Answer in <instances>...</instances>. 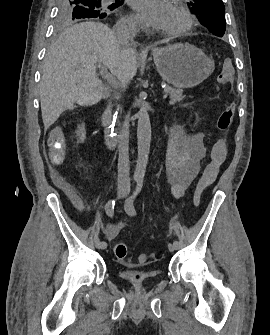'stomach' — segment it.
Returning a JSON list of instances; mask_svg holds the SVG:
<instances>
[{
	"label": "stomach",
	"mask_w": 270,
	"mask_h": 335,
	"mask_svg": "<svg viewBox=\"0 0 270 335\" xmlns=\"http://www.w3.org/2000/svg\"><path fill=\"white\" fill-rule=\"evenodd\" d=\"M152 56L157 72L174 88L198 86L215 68L214 60L192 44L153 48Z\"/></svg>",
	"instance_id": "1"
}]
</instances>
